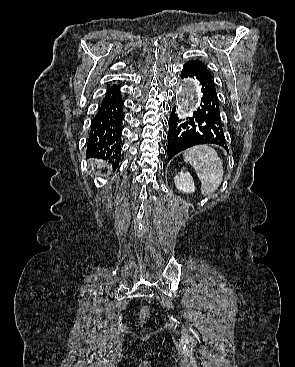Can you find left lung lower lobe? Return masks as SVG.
Instances as JSON below:
<instances>
[{
  "mask_svg": "<svg viewBox=\"0 0 295 367\" xmlns=\"http://www.w3.org/2000/svg\"><path fill=\"white\" fill-rule=\"evenodd\" d=\"M191 77L199 81L203 96L201 103L188 121L180 123L173 108L169 118L168 162L177 153L199 144H216L227 149L221 123L220 102L214 81L206 65L199 60L184 64L181 78Z\"/></svg>",
  "mask_w": 295,
  "mask_h": 367,
  "instance_id": "obj_1",
  "label": "left lung lower lobe"
}]
</instances>
